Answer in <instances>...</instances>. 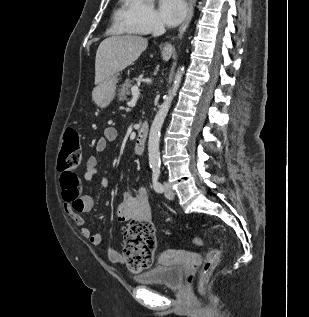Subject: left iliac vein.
<instances>
[{
    "instance_id": "4c4485c4",
    "label": "left iliac vein",
    "mask_w": 309,
    "mask_h": 317,
    "mask_svg": "<svg viewBox=\"0 0 309 317\" xmlns=\"http://www.w3.org/2000/svg\"><path fill=\"white\" fill-rule=\"evenodd\" d=\"M164 195L169 200H173L175 197L172 187L166 182L164 183Z\"/></svg>"
}]
</instances>
